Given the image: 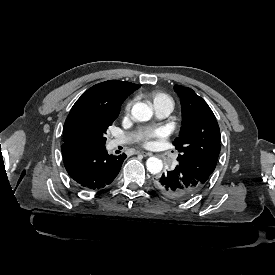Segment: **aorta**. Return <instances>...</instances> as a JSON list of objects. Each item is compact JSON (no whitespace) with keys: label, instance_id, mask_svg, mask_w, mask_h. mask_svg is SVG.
<instances>
[{"label":"aorta","instance_id":"aorta-1","mask_svg":"<svg viewBox=\"0 0 275 275\" xmlns=\"http://www.w3.org/2000/svg\"><path fill=\"white\" fill-rule=\"evenodd\" d=\"M131 114L134 119L138 121H148L153 115V110L150 106L145 103L137 102L134 104L131 110ZM147 170L151 174H157L162 171L163 163L162 160L156 157H149L146 161Z\"/></svg>","mask_w":275,"mask_h":275}]
</instances>
